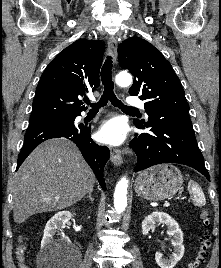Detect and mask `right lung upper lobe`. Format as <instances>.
Returning <instances> with one entry per match:
<instances>
[{
	"label": "right lung upper lobe",
	"mask_w": 221,
	"mask_h": 268,
	"mask_svg": "<svg viewBox=\"0 0 221 268\" xmlns=\"http://www.w3.org/2000/svg\"><path fill=\"white\" fill-rule=\"evenodd\" d=\"M104 43L79 39L46 67L36 88L30 122L79 116L81 96L99 86Z\"/></svg>",
	"instance_id": "right-lung-upper-lobe-1"
}]
</instances>
